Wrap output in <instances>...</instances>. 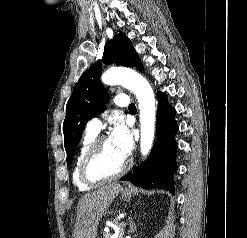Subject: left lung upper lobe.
<instances>
[{"label": "left lung upper lobe", "mask_w": 247, "mask_h": 238, "mask_svg": "<svg viewBox=\"0 0 247 238\" xmlns=\"http://www.w3.org/2000/svg\"><path fill=\"white\" fill-rule=\"evenodd\" d=\"M105 64L116 63L144 70L143 65L131 43L122 32L106 43L103 54ZM101 64L96 63L80 77L66 105L63 123L67 165L74 157L75 149L81 139L86 122L103 111L109 96L100 81Z\"/></svg>", "instance_id": "obj_1"}]
</instances>
